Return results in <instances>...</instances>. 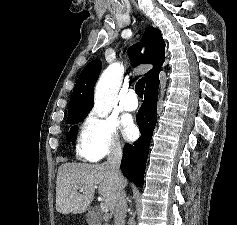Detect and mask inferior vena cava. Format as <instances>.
I'll use <instances>...</instances> for the list:
<instances>
[{
    "mask_svg": "<svg viewBox=\"0 0 237 225\" xmlns=\"http://www.w3.org/2000/svg\"><path fill=\"white\" fill-rule=\"evenodd\" d=\"M122 160V149L121 145L116 142L112 143L107 156V163L111 175L116 184V202L113 211L114 225H125L126 218V194L124 192L125 179L120 171V164Z\"/></svg>",
    "mask_w": 237,
    "mask_h": 225,
    "instance_id": "inferior-vena-cava-1",
    "label": "inferior vena cava"
}]
</instances>
